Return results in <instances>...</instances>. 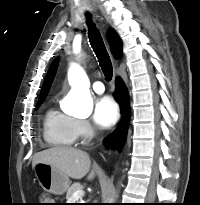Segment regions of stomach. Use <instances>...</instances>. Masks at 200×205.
Returning a JSON list of instances; mask_svg holds the SVG:
<instances>
[{
    "label": "stomach",
    "instance_id": "0dacf381",
    "mask_svg": "<svg viewBox=\"0 0 200 205\" xmlns=\"http://www.w3.org/2000/svg\"><path fill=\"white\" fill-rule=\"evenodd\" d=\"M34 171L39 184L47 192L62 195L69 188V177L49 164L38 163Z\"/></svg>",
    "mask_w": 200,
    "mask_h": 205
}]
</instances>
